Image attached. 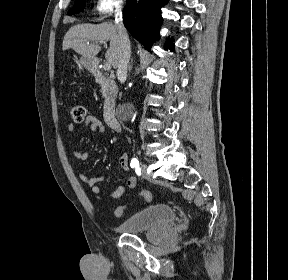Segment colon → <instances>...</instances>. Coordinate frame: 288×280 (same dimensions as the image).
I'll return each mask as SVG.
<instances>
[{
  "mask_svg": "<svg viewBox=\"0 0 288 280\" xmlns=\"http://www.w3.org/2000/svg\"><path fill=\"white\" fill-rule=\"evenodd\" d=\"M68 111L72 120L76 123H81L85 118L86 112H85V108L82 105H78V104L69 105ZM139 197L147 202L151 200V194L148 191H142L139 194ZM126 208H127L126 205L118 206L114 211L115 216L121 217L125 213Z\"/></svg>",
  "mask_w": 288,
  "mask_h": 280,
  "instance_id": "1",
  "label": "colon"
}]
</instances>
